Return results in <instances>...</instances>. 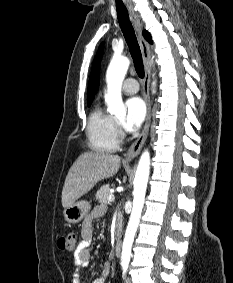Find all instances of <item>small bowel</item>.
Wrapping results in <instances>:
<instances>
[{
    "label": "small bowel",
    "mask_w": 233,
    "mask_h": 283,
    "mask_svg": "<svg viewBox=\"0 0 233 283\" xmlns=\"http://www.w3.org/2000/svg\"><path fill=\"white\" fill-rule=\"evenodd\" d=\"M102 207L95 208L84 219L81 227V242L74 254V266L76 270L85 267L90 259V245L93 240V222L96 218L103 214ZM109 275V264L105 263L100 275L95 278L92 283H105V278ZM72 283H83L79 274L76 272L73 275Z\"/></svg>",
    "instance_id": "obj_1"
}]
</instances>
